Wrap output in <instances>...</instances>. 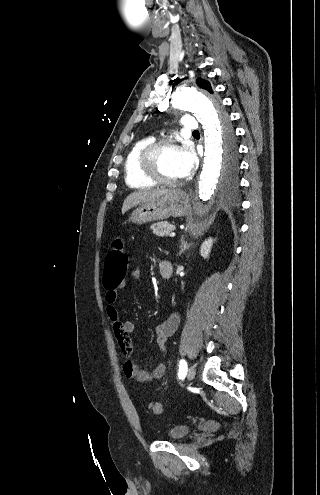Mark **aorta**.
Instances as JSON below:
<instances>
[{
  "label": "aorta",
  "instance_id": "obj_1",
  "mask_svg": "<svg viewBox=\"0 0 320 495\" xmlns=\"http://www.w3.org/2000/svg\"><path fill=\"white\" fill-rule=\"evenodd\" d=\"M174 108L189 110L201 123L205 135L204 164L193 206L191 226L211 213V197L219 181L222 168V120L219 104L201 89H179L173 94Z\"/></svg>",
  "mask_w": 320,
  "mask_h": 495
}]
</instances>
